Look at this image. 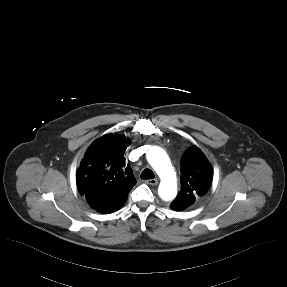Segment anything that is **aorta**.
<instances>
[{
  "mask_svg": "<svg viewBox=\"0 0 287 287\" xmlns=\"http://www.w3.org/2000/svg\"><path fill=\"white\" fill-rule=\"evenodd\" d=\"M147 161L160 177L158 194L164 201H170L177 195L176 174L167 153L160 147H152L147 153Z\"/></svg>",
  "mask_w": 287,
  "mask_h": 287,
  "instance_id": "1",
  "label": "aorta"
}]
</instances>
